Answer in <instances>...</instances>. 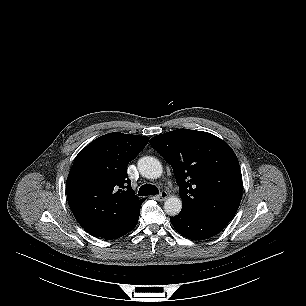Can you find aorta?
<instances>
[{
	"label": "aorta",
	"instance_id": "762f6f07",
	"mask_svg": "<svg viewBox=\"0 0 306 306\" xmlns=\"http://www.w3.org/2000/svg\"><path fill=\"white\" fill-rule=\"evenodd\" d=\"M138 170L140 174L147 179H157L163 173V167L160 161L151 156H145L139 159ZM182 202L179 197L171 196L164 203V210L170 216H176L181 212Z\"/></svg>",
	"mask_w": 306,
	"mask_h": 306
}]
</instances>
